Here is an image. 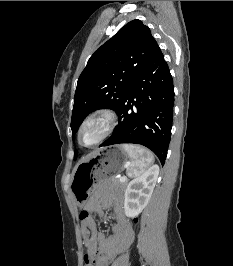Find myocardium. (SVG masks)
I'll use <instances>...</instances> for the list:
<instances>
[{"label":"myocardium","instance_id":"obj_1","mask_svg":"<svg viewBox=\"0 0 233 266\" xmlns=\"http://www.w3.org/2000/svg\"><path fill=\"white\" fill-rule=\"evenodd\" d=\"M95 120H103L104 121V129L101 133V135L91 144H85L82 141L81 134L84 129V127L89 124L90 122H93ZM118 121V115L117 112L110 108V107H102L94 110L90 114H88L85 119L80 124L78 131H77V140L78 143L86 148H92L95 147L102 142H104L114 131L116 124Z\"/></svg>","mask_w":233,"mask_h":266}]
</instances>
